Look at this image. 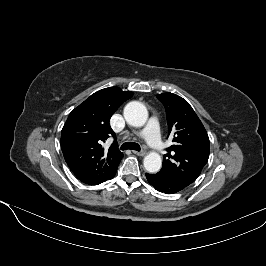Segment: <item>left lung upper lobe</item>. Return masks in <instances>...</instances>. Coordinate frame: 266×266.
<instances>
[{
  "label": "left lung upper lobe",
  "instance_id": "5c2ea615",
  "mask_svg": "<svg viewBox=\"0 0 266 266\" xmlns=\"http://www.w3.org/2000/svg\"><path fill=\"white\" fill-rule=\"evenodd\" d=\"M166 109L169 134L174 144L164 155L158 174L187 187L200 175L209 158V137L190 104L173 93L156 96Z\"/></svg>",
  "mask_w": 266,
  "mask_h": 266
}]
</instances>
